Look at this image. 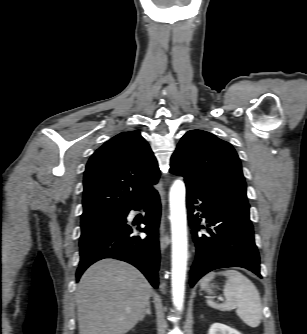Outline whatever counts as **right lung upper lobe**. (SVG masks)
<instances>
[{
  "label": "right lung upper lobe",
  "mask_w": 307,
  "mask_h": 334,
  "mask_svg": "<svg viewBox=\"0 0 307 334\" xmlns=\"http://www.w3.org/2000/svg\"><path fill=\"white\" fill-rule=\"evenodd\" d=\"M159 176L156 158L139 131L116 135L86 165L82 216L125 213L153 189Z\"/></svg>",
  "instance_id": "cb5924a9"
}]
</instances>
